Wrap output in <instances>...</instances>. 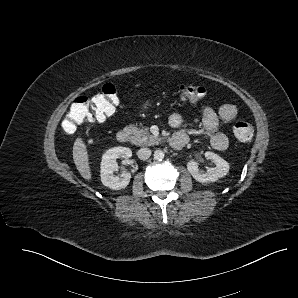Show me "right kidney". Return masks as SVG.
Instances as JSON below:
<instances>
[{"mask_svg": "<svg viewBox=\"0 0 298 298\" xmlns=\"http://www.w3.org/2000/svg\"><path fill=\"white\" fill-rule=\"evenodd\" d=\"M132 156V151L128 147L118 146L106 149L101 156L100 161V179L104 186L121 189L127 186L130 180L128 171L122 172L119 176L114 175L117 168V159H128Z\"/></svg>", "mask_w": 298, "mask_h": 298, "instance_id": "1", "label": "right kidney"}]
</instances>
